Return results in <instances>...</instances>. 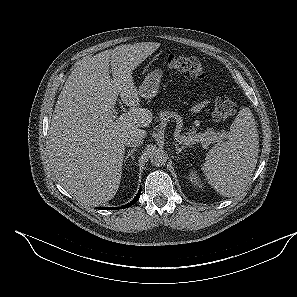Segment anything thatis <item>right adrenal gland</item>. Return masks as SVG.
I'll list each match as a JSON object with an SVG mask.
<instances>
[{"instance_id": "2a0ac1e0", "label": "right adrenal gland", "mask_w": 297, "mask_h": 297, "mask_svg": "<svg viewBox=\"0 0 297 297\" xmlns=\"http://www.w3.org/2000/svg\"><path fill=\"white\" fill-rule=\"evenodd\" d=\"M136 151V148H133L131 150L128 151V154L126 156H124L123 162L126 163V160L131 157L132 160H134V152Z\"/></svg>"}]
</instances>
